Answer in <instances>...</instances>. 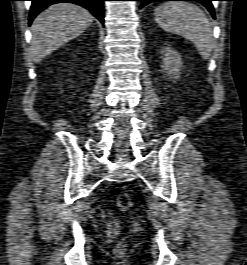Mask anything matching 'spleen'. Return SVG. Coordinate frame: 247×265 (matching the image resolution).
Returning <instances> with one entry per match:
<instances>
[{
  "instance_id": "spleen-1",
  "label": "spleen",
  "mask_w": 247,
  "mask_h": 265,
  "mask_svg": "<svg viewBox=\"0 0 247 265\" xmlns=\"http://www.w3.org/2000/svg\"><path fill=\"white\" fill-rule=\"evenodd\" d=\"M155 20L165 31L180 35L196 46L204 59L214 46L212 28L205 13L189 2H165L155 10Z\"/></svg>"
}]
</instances>
